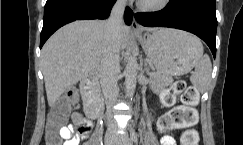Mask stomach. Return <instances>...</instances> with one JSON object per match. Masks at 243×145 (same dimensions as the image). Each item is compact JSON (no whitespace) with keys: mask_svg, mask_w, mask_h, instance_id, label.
<instances>
[{"mask_svg":"<svg viewBox=\"0 0 243 145\" xmlns=\"http://www.w3.org/2000/svg\"><path fill=\"white\" fill-rule=\"evenodd\" d=\"M138 39L155 68L170 78L191 71L203 52L199 39L181 30L157 29Z\"/></svg>","mask_w":243,"mask_h":145,"instance_id":"obj_1","label":"stomach"}]
</instances>
